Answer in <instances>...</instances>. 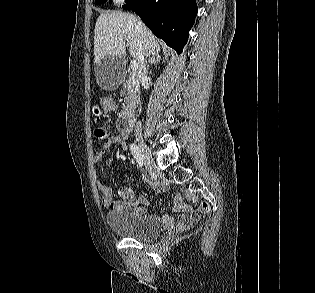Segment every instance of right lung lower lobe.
I'll return each instance as SVG.
<instances>
[{"label":"right lung lower lobe","mask_w":315,"mask_h":293,"mask_svg":"<svg viewBox=\"0 0 315 293\" xmlns=\"http://www.w3.org/2000/svg\"><path fill=\"white\" fill-rule=\"evenodd\" d=\"M123 9L134 10L157 37L178 53L183 51L197 14L195 0H127Z\"/></svg>","instance_id":"right-lung-lower-lobe-1"}]
</instances>
